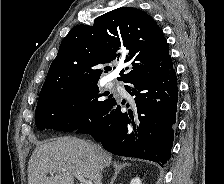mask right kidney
Returning <instances> with one entry per match:
<instances>
[{
    "label": "right kidney",
    "instance_id": "obj_1",
    "mask_svg": "<svg viewBox=\"0 0 224 184\" xmlns=\"http://www.w3.org/2000/svg\"><path fill=\"white\" fill-rule=\"evenodd\" d=\"M130 184H142V182L138 177H136L131 180Z\"/></svg>",
    "mask_w": 224,
    "mask_h": 184
}]
</instances>
